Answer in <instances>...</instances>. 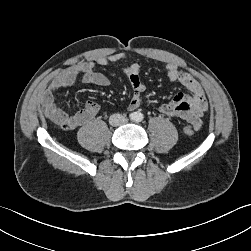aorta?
<instances>
[{"label": "aorta", "instance_id": "762f6f07", "mask_svg": "<svg viewBox=\"0 0 251 251\" xmlns=\"http://www.w3.org/2000/svg\"><path fill=\"white\" fill-rule=\"evenodd\" d=\"M144 118L143 114L140 113V112H135L134 115H133V119L137 122H140L142 121Z\"/></svg>", "mask_w": 251, "mask_h": 251}]
</instances>
